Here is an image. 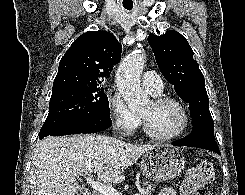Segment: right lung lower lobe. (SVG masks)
<instances>
[{"label":"right lung lower lobe","instance_id":"right-lung-lower-lobe-1","mask_svg":"<svg viewBox=\"0 0 245 195\" xmlns=\"http://www.w3.org/2000/svg\"><path fill=\"white\" fill-rule=\"evenodd\" d=\"M112 125L110 116L99 114L61 127L46 136H60L103 131ZM46 136L39 137L43 139Z\"/></svg>","mask_w":245,"mask_h":195}]
</instances>
